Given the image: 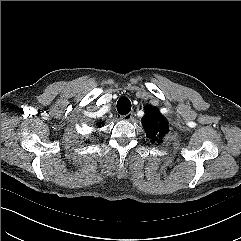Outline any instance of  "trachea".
<instances>
[{
	"mask_svg": "<svg viewBox=\"0 0 241 241\" xmlns=\"http://www.w3.org/2000/svg\"><path fill=\"white\" fill-rule=\"evenodd\" d=\"M117 110L121 115H126L131 110V102L127 97H121L117 101Z\"/></svg>",
	"mask_w": 241,
	"mask_h": 241,
	"instance_id": "obj_1",
	"label": "trachea"
}]
</instances>
